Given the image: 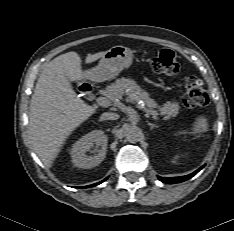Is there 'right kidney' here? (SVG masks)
Listing matches in <instances>:
<instances>
[{"instance_id": "ca27d5eb", "label": "right kidney", "mask_w": 234, "mask_h": 231, "mask_svg": "<svg viewBox=\"0 0 234 231\" xmlns=\"http://www.w3.org/2000/svg\"><path fill=\"white\" fill-rule=\"evenodd\" d=\"M108 138L102 130H94L80 138L71 149L72 162L79 168H92L98 166L105 158ZM100 146L97 154L87 155L93 145Z\"/></svg>"}]
</instances>
